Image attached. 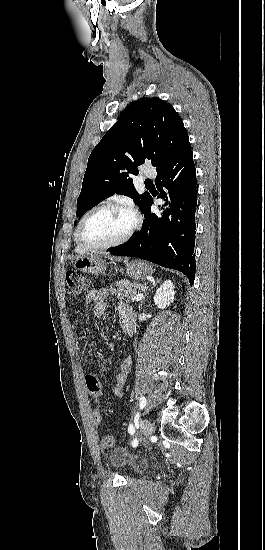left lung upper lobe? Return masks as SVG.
<instances>
[{"mask_svg":"<svg viewBox=\"0 0 265 550\" xmlns=\"http://www.w3.org/2000/svg\"><path fill=\"white\" fill-rule=\"evenodd\" d=\"M189 137L173 106L159 97L130 103L115 125L104 135L88 159L76 216L114 193L134 198L144 213L151 196L139 195L130 175L150 160L159 171L187 142Z\"/></svg>","mask_w":265,"mask_h":550,"instance_id":"obj_1","label":"left lung upper lobe"}]
</instances>
